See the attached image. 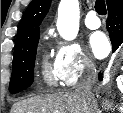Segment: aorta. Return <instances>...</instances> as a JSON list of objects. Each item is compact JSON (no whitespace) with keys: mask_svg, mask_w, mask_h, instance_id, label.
<instances>
[{"mask_svg":"<svg viewBox=\"0 0 123 113\" xmlns=\"http://www.w3.org/2000/svg\"><path fill=\"white\" fill-rule=\"evenodd\" d=\"M57 30L60 36L74 40L79 31V2L78 0H61L58 7Z\"/></svg>","mask_w":123,"mask_h":113,"instance_id":"aorta-1","label":"aorta"}]
</instances>
